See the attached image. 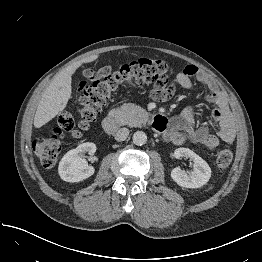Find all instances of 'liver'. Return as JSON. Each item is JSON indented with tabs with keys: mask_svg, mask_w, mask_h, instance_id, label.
Here are the masks:
<instances>
[{
	"mask_svg": "<svg viewBox=\"0 0 262 262\" xmlns=\"http://www.w3.org/2000/svg\"><path fill=\"white\" fill-rule=\"evenodd\" d=\"M98 55L87 57L75 62L54 76L42 94L38 104L34 126L40 128L63 111L71 97L72 75L83 64L95 61Z\"/></svg>",
	"mask_w": 262,
	"mask_h": 262,
	"instance_id": "6515ba94",
	"label": "liver"
}]
</instances>
